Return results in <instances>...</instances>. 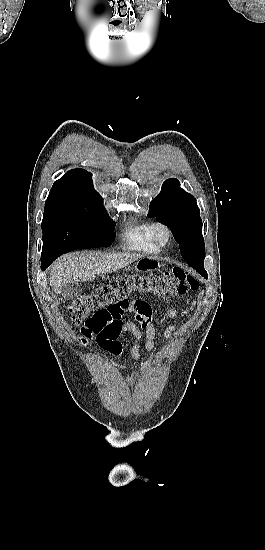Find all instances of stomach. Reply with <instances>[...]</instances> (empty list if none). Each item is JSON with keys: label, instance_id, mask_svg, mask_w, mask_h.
Returning a JSON list of instances; mask_svg holds the SVG:
<instances>
[{"label": "stomach", "instance_id": "0dacf381", "mask_svg": "<svg viewBox=\"0 0 265 550\" xmlns=\"http://www.w3.org/2000/svg\"><path fill=\"white\" fill-rule=\"evenodd\" d=\"M161 267V263L154 257H144L139 259L134 266L137 272H149L157 270Z\"/></svg>", "mask_w": 265, "mask_h": 550}]
</instances>
